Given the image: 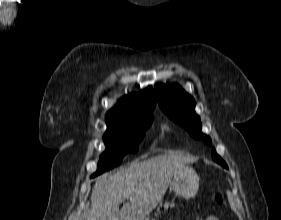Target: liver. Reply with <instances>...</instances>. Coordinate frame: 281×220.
<instances>
[{
	"label": "liver",
	"mask_w": 281,
	"mask_h": 220,
	"mask_svg": "<svg viewBox=\"0 0 281 220\" xmlns=\"http://www.w3.org/2000/svg\"><path fill=\"white\" fill-rule=\"evenodd\" d=\"M191 161L170 152L101 175L92 189L87 220H144L162 200L173 175ZM124 198L128 202L119 209Z\"/></svg>",
	"instance_id": "6515ba94"
}]
</instances>
